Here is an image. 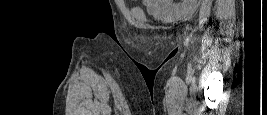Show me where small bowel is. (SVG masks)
Masks as SVG:
<instances>
[{
    "label": "small bowel",
    "instance_id": "c3829d8e",
    "mask_svg": "<svg viewBox=\"0 0 267 115\" xmlns=\"http://www.w3.org/2000/svg\"><path fill=\"white\" fill-rule=\"evenodd\" d=\"M147 11L160 18H184L191 14L197 6L196 1L144 0Z\"/></svg>",
    "mask_w": 267,
    "mask_h": 115
}]
</instances>
